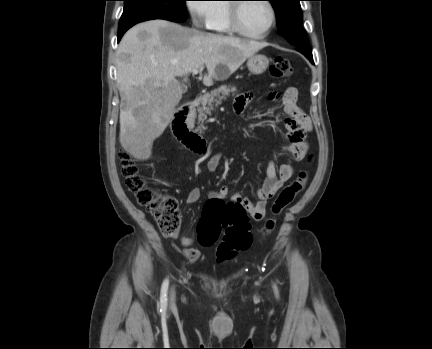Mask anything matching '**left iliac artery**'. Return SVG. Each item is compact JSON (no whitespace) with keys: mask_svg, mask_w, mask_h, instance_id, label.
<instances>
[{"mask_svg":"<svg viewBox=\"0 0 432 349\" xmlns=\"http://www.w3.org/2000/svg\"><path fill=\"white\" fill-rule=\"evenodd\" d=\"M274 291H275L276 296L278 297V289H277L276 285H274Z\"/></svg>","mask_w":432,"mask_h":349,"instance_id":"1","label":"left iliac artery"}]
</instances>
